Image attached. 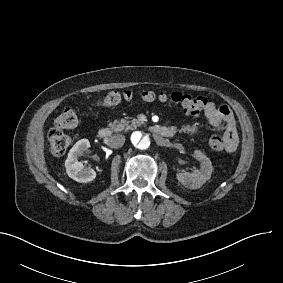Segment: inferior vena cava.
<instances>
[{"label":"inferior vena cava","instance_id":"602c4592","mask_svg":"<svg viewBox=\"0 0 283 283\" xmlns=\"http://www.w3.org/2000/svg\"><path fill=\"white\" fill-rule=\"evenodd\" d=\"M125 142V137L123 135H113L108 138L107 145L111 148H120Z\"/></svg>","mask_w":283,"mask_h":283}]
</instances>
